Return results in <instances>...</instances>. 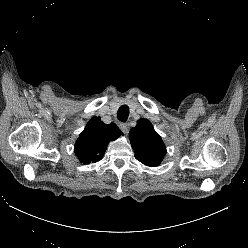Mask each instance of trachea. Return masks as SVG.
I'll use <instances>...</instances> for the list:
<instances>
[{"mask_svg": "<svg viewBox=\"0 0 248 248\" xmlns=\"http://www.w3.org/2000/svg\"><path fill=\"white\" fill-rule=\"evenodd\" d=\"M129 116V107L122 105L117 111V117L121 122H126Z\"/></svg>", "mask_w": 248, "mask_h": 248, "instance_id": "trachea-1", "label": "trachea"}]
</instances>
